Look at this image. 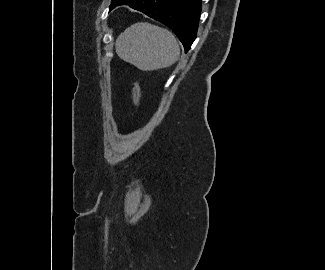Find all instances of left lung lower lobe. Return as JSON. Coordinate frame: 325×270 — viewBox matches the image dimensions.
I'll return each mask as SVG.
<instances>
[{"label":"left lung lower lobe","instance_id":"obj_1","mask_svg":"<svg viewBox=\"0 0 325 270\" xmlns=\"http://www.w3.org/2000/svg\"><path fill=\"white\" fill-rule=\"evenodd\" d=\"M147 16L168 26L182 42L187 52L196 37L201 12V0H120Z\"/></svg>","mask_w":325,"mask_h":270}]
</instances>
